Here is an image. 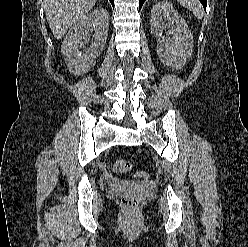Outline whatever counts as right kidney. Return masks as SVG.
Instances as JSON below:
<instances>
[{
	"label": "right kidney",
	"instance_id": "1",
	"mask_svg": "<svg viewBox=\"0 0 248 247\" xmlns=\"http://www.w3.org/2000/svg\"><path fill=\"white\" fill-rule=\"evenodd\" d=\"M108 29L109 13L103 8L93 10L73 24L62 43V54L70 72L82 75L95 65L106 44ZM93 31L91 45L86 49L84 43Z\"/></svg>",
	"mask_w": 248,
	"mask_h": 247
}]
</instances>
